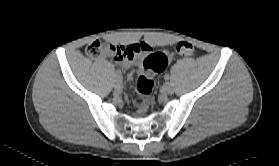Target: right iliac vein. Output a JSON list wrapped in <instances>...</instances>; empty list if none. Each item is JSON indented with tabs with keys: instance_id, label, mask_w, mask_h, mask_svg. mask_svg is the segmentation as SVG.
I'll return each mask as SVG.
<instances>
[{
	"instance_id": "1",
	"label": "right iliac vein",
	"mask_w": 279,
	"mask_h": 166,
	"mask_svg": "<svg viewBox=\"0 0 279 166\" xmlns=\"http://www.w3.org/2000/svg\"><path fill=\"white\" fill-rule=\"evenodd\" d=\"M114 88L116 91H120L122 89V81L120 78H117L114 84Z\"/></svg>"
}]
</instances>
